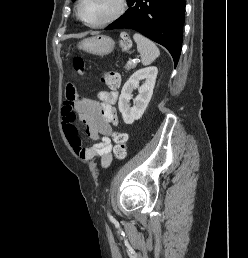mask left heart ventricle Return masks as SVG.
Here are the masks:
<instances>
[{
    "label": "left heart ventricle",
    "instance_id": "obj_1",
    "mask_svg": "<svg viewBox=\"0 0 248 258\" xmlns=\"http://www.w3.org/2000/svg\"><path fill=\"white\" fill-rule=\"evenodd\" d=\"M118 0H84L82 14L90 23L99 22L110 16L118 5Z\"/></svg>",
    "mask_w": 248,
    "mask_h": 258
}]
</instances>
